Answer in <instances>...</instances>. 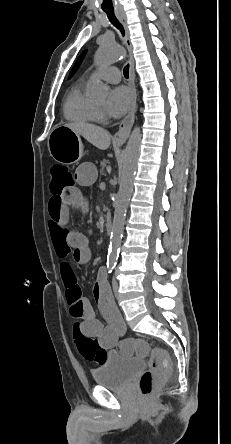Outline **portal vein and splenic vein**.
Segmentation results:
<instances>
[{
	"label": "portal vein and splenic vein",
	"instance_id": "1",
	"mask_svg": "<svg viewBox=\"0 0 231 444\" xmlns=\"http://www.w3.org/2000/svg\"><path fill=\"white\" fill-rule=\"evenodd\" d=\"M107 170L109 171V170H111V168H110V167H108V168H107Z\"/></svg>",
	"mask_w": 231,
	"mask_h": 444
}]
</instances>
